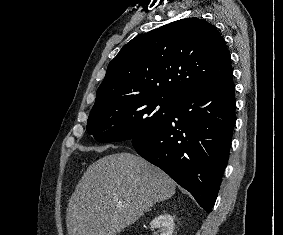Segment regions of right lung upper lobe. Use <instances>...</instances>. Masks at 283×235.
<instances>
[{
    "label": "right lung upper lobe",
    "instance_id": "obj_1",
    "mask_svg": "<svg viewBox=\"0 0 283 235\" xmlns=\"http://www.w3.org/2000/svg\"><path fill=\"white\" fill-rule=\"evenodd\" d=\"M231 74L230 52L217 28L181 19L124 45L108 65L94 106L135 97L174 99Z\"/></svg>",
    "mask_w": 283,
    "mask_h": 235
}]
</instances>
